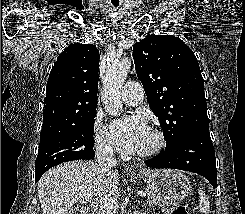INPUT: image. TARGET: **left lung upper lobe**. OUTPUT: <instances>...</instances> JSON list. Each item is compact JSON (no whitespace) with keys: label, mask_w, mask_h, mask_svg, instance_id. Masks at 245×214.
<instances>
[{"label":"left lung upper lobe","mask_w":245,"mask_h":214,"mask_svg":"<svg viewBox=\"0 0 245 214\" xmlns=\"http://www.w3.org/2000/svg\"><path fill=\"white\" fill-rule=\"evenodd\" d=\"M132 54L166 149L194 131L209 130L204 80L197 58L181 39L148 35L134 44Z\"/></svg>","instance_id":"left-lung-upper-lobe-1"}]
</instances>
